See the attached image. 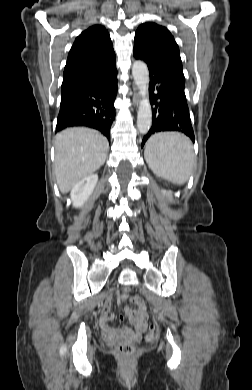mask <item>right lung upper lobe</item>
I'll use <instances>...</instances> for the list:
<instances>
[{
  "label": "right lung upper lobe",
  "instance_id": "1",
  "mask_svg": "<svg viewBox=\"0 0 252 390\" xmlns=\"http://www.w3.org/2000/svg\"><path fill=\"white\" fill-rule=\"evenodd\" d=\"M115 66L109 33L100 25L89 27L75 39L68 54L61 95L80 84L107 75Z\"/></svg>",
  "mask_w": 252,
  "mask_h": 390
}]
</instances>
